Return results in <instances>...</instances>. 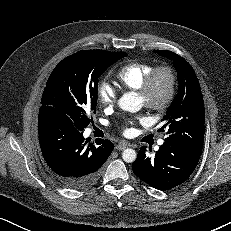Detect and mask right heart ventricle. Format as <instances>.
<instances>
[{
	"instance_id": "1",
	"label": "right heart ventricle",
	"mask_w": 231,
	"mask_h": 231,
	"mask_svg": "<svg viewBox=\"0 0 231 231\" xmlns=\"http://www.w3.org/2000/svg\"><path fill=\"white\" fill-rule=\"evenodd\" d=\"M153 68L151 62L132 61L122 66L116 72L115 78L122 89L137 91Z\"/></svg>"
}]
</instances>
